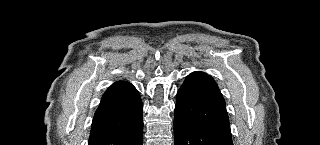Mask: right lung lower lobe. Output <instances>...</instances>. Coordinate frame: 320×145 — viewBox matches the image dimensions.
<instances>
[{
  "mask_svg": "<svg viewBox=\"0 0 320 145\" xmlns=\"http://www.w3.org/2000/svg\"><path fill=\"white\" fill-rule=\"evenodd\" d=\"M142 113L136 88L126 81L115 82L95 112L88 145H142Z\"/></svg>",
  "mask_w": 320,
  "mask_h": 145,
  "instance_id": "98d812e1",
  "label": "right lung lower lobe"
}]
</instances>
